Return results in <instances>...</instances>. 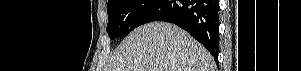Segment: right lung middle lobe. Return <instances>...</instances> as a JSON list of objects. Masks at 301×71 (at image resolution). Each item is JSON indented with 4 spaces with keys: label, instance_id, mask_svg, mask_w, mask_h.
I'll return each mask as SVG.
<instances>
[{
    "label": "right lung middle lobe",
    "instance_id": "right-lung-middle-lobe-1",
    "mask_svg": "<svg viewBox=\"0 0 301 71\" xmlns=\"http://www.w3.org/2000/svg\"><path fill=\"white\" fill-rule=\"evenodd\" d=\"M158 0H108L107 32L111 39L125 37L139 26L142 16Z\"/></svg>",
    "mask_w": 301,
    "mask_h": 71
}]
</instances>
